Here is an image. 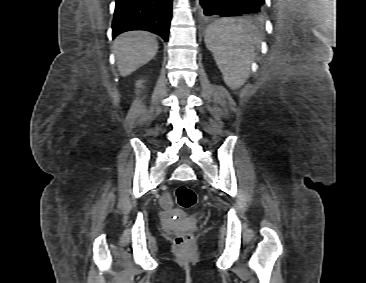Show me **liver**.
Instances as JSON below:
<instances>
[{"mask_svg":"<svg viewBox=\"0 0 366 283\" xmlns=\"http://www.w3.org/2000/svg\"><path fill=\"white\" fill-rule=\"evenodd\" d=\"M114 51L120 75L125 77L153 59L158 51V41L147 31H127L115 39Z\"/></svg>","mask_w":366,"mask_h":283,"instance_id":"liver-1","label":"liver"}]
</instances>
